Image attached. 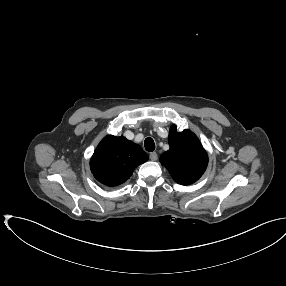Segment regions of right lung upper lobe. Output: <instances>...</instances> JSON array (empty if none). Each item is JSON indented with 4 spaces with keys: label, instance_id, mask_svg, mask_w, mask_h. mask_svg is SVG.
<instances>
[{
    "label": "right lung upper lobe",
    "instance_id": "right-lung-upper-lobe-1",
    "mask_svg": "<svg viewBox=\"0 0 286 286\" xmlns=\"http://www.w3.org/2000/svg\"><path fill=\"white\" fill-rule=\"evenodd\" d=\"M148 160L143 149L123 136H106L97 146L90 167L102 184L113 187L130 178L134 169Z\"/></svg>",
    "mask_w": 286,
    "mask_h": 286
}]
</instances>
